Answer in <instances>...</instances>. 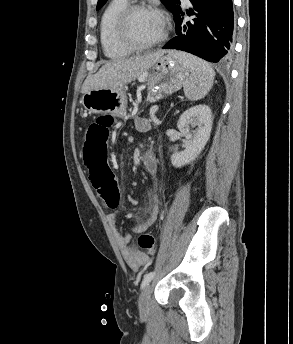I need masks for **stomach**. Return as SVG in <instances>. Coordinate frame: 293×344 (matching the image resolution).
<instances>
[{"label":"stomach","instance_id":"stomach-1","mask_svg":"<svg viewBox=\"0 0 293 344\" xmlns=\"http://www.w3.org/2000/svg\"><path fill=\"white\" fill-rule=\"evenodd\" d=\"M188 70L171 53L159 57L150 69L138 78L154 95L172 94L181 89L189 77ZM127 86L116 89H97L85 93L81 103L89 114L126 115Z\"/></svg>","mask_w":293,"mask_h":344}]
</instances>
